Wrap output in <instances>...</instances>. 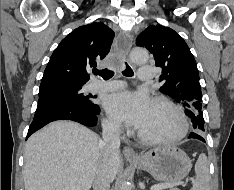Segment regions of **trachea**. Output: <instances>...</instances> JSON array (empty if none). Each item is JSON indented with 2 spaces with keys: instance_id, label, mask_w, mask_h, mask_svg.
Here are the masks:
<instances>
[{
  "instance_id": "obj_1",
  "label": "trachea",
  "mask_w": 234,
  "mask_h": 190,
  "mask_svg": "<svg viewBox=\"0 0 234 190\" xmlns=\"http://www.w3.org/2000/svg\"><path fill=\"white\" fill-rule=\"evenodd\" d=\"M126 64L125 70L122 72L124 76L131 77L133 76V70L130 66ZM93 73L95 75H100L104 80H108L113 77L114 72L112 70L104 69V70H94Z\"/></svg>"
}]
</instances>
